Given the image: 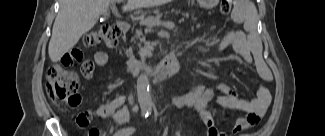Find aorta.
I'll list each match as a JSON object with an SVG mask.
<instances>
[{
  "label": "aorta",
  "instance_id": "aorta-1",
  "mask_svg": "<svg viewBox=\"0 0 325 136\" xmlns=\"http://www.w3.org/2000/svg\"><path fill=\"white\" fill-rule=\"evenodd\" d=\"M149 87L150 83L147 75H140L137 80V96L141 110L146 113L152 110V99Z\"/></svg>",
  "mask_w": 325,
  "mask_h": 136
}]
</instances>
